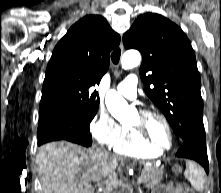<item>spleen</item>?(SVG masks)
<instances>
[{
    "mask_svg": "<svg viewBox=\"0 0 221 193\" xmlns=\"http://www.w3.org/2000/svg\"><path fill=\"white\" fill-rule=\"evenodd\" d=\"M186 166L185 177L195 190L202 191L204 189L205 181L203 169L197 163L192 161H188Z\"/></svg>",
    "mask_w": 221,
    "mask_h": 193,
    "instance_id": "3e777b00",
    "label": "spleen"
}]
</instances>
